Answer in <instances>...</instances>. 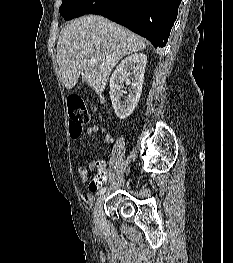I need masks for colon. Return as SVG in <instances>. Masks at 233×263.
<instances>
[{
  "instance_id": "1",
  "label": "colon",
  "mask_w": 233,
  "mask_h": 263,
  "mask_svg": "<svg viewBox=\"0 0 233 263\" xmlns=\"http://www.w3.org/2000/svg\"><path fill=\"white\" fill-rule=\"evenodd\" d=\"M68 114L70 135L76 139L83 133L85 126L91 120L89 110L80 97H71L68 100ZM95 178L89 184L90 189H102L103 185L98 183H108L109 176L107 171H95Z\"/></svg>"
}]
</instances>
